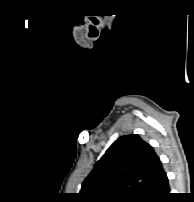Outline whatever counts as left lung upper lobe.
<instances>
[{"label":"left lung upper lobe","instance_id":"obj_1","mask_svg":"<svg viewBox=\"0 0 194 202\" xmlns=\"http://www.w3.org/2000/svg\"><path fill=\"white\" fill-rule=\"evenodd\" d=\"M164 170L153 148L138 135L115 141L82 184L84 202H151Z\"/></svg>","mask_w":194,"mask_h":202}]
</instances>
